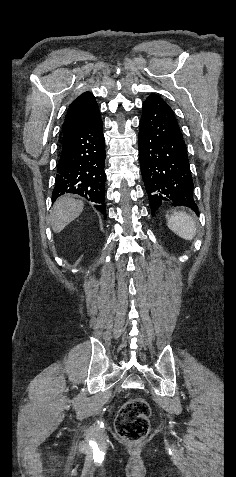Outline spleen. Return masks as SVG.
Segmentation results:
<instances>
[{
    "label": "spleen",
    "mask_w": 236,
    "mask_h": 477,
    "mask_svg": "<svg viewBox=\"0 0 236 477\" xmlns=\"http://www.w3.org/2000/svg\"><path fill=\"white\" fill-rule=\"evenodd\" d=\"M169 228L180 237L191 240L196 233V224L185 212H176L168 219Z\"/></svg>",
    "instance_id": "1"
}]
</instances>
